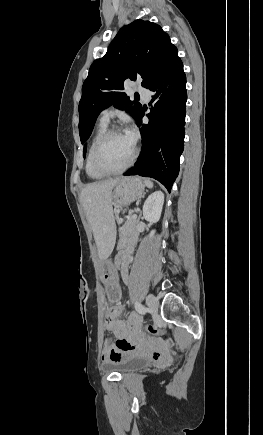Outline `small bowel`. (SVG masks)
Here are the masks:
<instances>
[{
    "label": "small bowel",
    "instance_id": "small-bowel-1",
    "mask_svg": "<svg viewBox=\"0 0 263 435\" xmlns=\"http://www.w3.org/2000/svg\"><path fill=\"white\" fill-rule=\"evenodd\" d=\"M126 249L118 252L114 258V263L121 262L124 275V282L129 281V263L131 249L135 244V239L130 237L125 241ZM123 312L122 305H108L105 321L106 330L112 332L108 338L113 343L112 350H103L101 359L103 362H115L128 355H139L144 350L146 356H150L155 364H165L169 359H173V354L167 352L168 344L161 339V334H144L142 332V317L133 313L127 321L119 318ZM117 336L120 341H117ZM143 339V341H141Z\"/></svg>",
    "mask_w": 263,
    "mask_h": 435
}]
</instances>
